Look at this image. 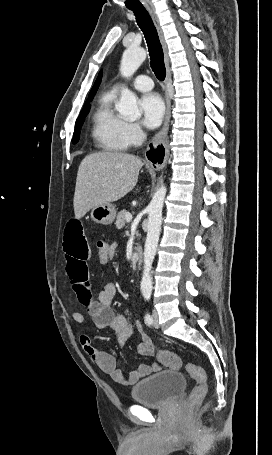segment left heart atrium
I'll return each instance as SVG.
<instances>
[{
	"mask_svg": "<svg viewBox=\"0 0 272 455\" xmlns=\"http://www.w3.org/2000/svg\"><path fill=\"white\" fill-rule=\"evenodd\" d=\"M139 105L143 124L151 129L158 127L165 113L162 98L157 93H147L140 99Z\"/></svg>",
	"mask_w": 272,
	"mask_h": 455,
	"instance_id": "left-heart-atrium-1",
	"label": "left heart atrium"
}]
</instances>
